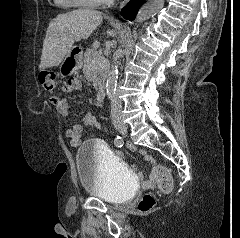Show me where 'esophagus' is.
Returning a JSON list of instances; mask_svg holds the SVG:
<instances>
[{
    "label": "esophagus",
    "mask_w": 240,
    "mask_h": 238,
    "mask_svg": "<svg viewBox=\"0 0 240 238\" xmlns=\"http://www.w3.org/2000/svg\"><path fill=\"white\" fill-rule=\"evenodd\" d=\"M128 2L129 0H121L119 4V10H121Z\"/></svg>",
    "instance_id": "1"
}]
</instances>
